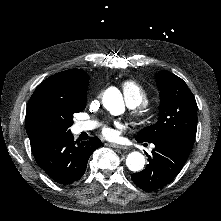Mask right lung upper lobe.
<instances>
[{
  "mask_svg": "<svg viewBox=\"0 0 221 221\" xmlns=\"http://www.w3.org/2000/svg\"><path fill=\"white\" fill-rule=\"evenodd\" d=\"M88 81L89 77L82 69L66 70L45 79L32 96L46 93L60 99L80 103L87 99Z\"/></svg>",
  "mask_w": 221,
  "mask_h": 221,
  "instance_id": "right-lung-upper-lobe-1",
  "label": "right lung upper lobe"
}]
</instances>
